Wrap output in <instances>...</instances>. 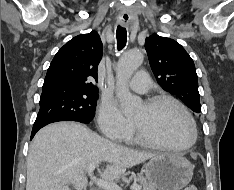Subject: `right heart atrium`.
Masks as SVG:
<instances>
[{
	"mask_svg": "<svg viewBox=\"0 0 234 190\" xmlns=\"http://www.w3.org/2000/svg\"><path fill=\"white\" fill-rule=\"evenodd\" d=\"M97 123L100 131L109 139L121 141L132 128V122L118 109L115 102L104 98L97 109Z\"/></svg>",
	"mask_w": 234,
	"mask_h": 190,
	"instance_id": "1",
	"label": "right heart atrium"
}]
</instances>
